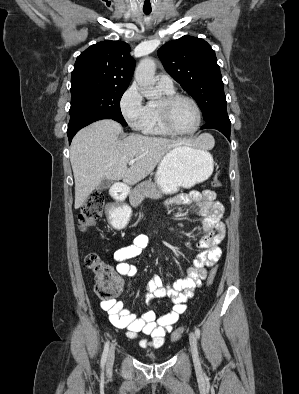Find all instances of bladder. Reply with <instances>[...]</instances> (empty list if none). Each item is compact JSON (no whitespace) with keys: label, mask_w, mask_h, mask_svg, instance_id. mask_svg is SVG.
Segmentation results:
<instances>
[{"label":"bladder","mask_w":299,"mask_h":394,"mask_svg":"<svg viewBox=\"0 0 299 394\" xmlns=\"http://www.w3.org/2000/svg\"><path fill=\"white\" fill-rule=\"evenodd\" d=\"M144 358L151 362H157L160 360L159 356L152 352L145 353Z\"/></svg>","instance_id":"obj_1"}]
</instances>
